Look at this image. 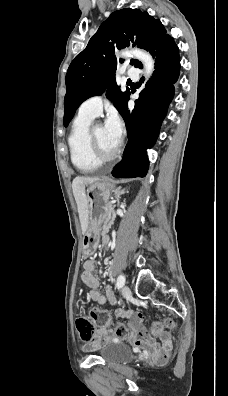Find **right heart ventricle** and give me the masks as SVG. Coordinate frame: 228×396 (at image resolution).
Wrapping results in <instances>:
<instances>
[{
	"label": "right heart ventricle",
	"instance_id": "e07e8e85",
	"mask_svg": "<svg viewBox=\"0 0 228 396\" xmlns=\"http://www.w3.org/2000/svg\"><path fill=\"white\" fill-rule=\"evenodd\" d=\"M92 119L93 116L79 113L68 137L72 163L83 173H91L100 166L92 158L88 146V131Z\"/></svg>",
	"mask_w": 228,
	"mask_h": 396
}]
</instances>
